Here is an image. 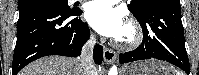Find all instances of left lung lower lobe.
<instances>
[{"label":"left lung lower lobe","instance_id":"left-lung-lower-lobe-1","mask_svg":"<svg viewBox=\"0 0 199 75\" xmlns=\"http://www.w3.org/2000/svg\"><path fill=\"white\" fill-rule=\"evenodd\" d=\"M137 20L143 29L142 44L133 51L120 54V63L159 59L180 67L189 75L180 1L162 0L151 7L142 19Z\"/></svg>","mask_w":199,"mask_h":75}]
</instances>
